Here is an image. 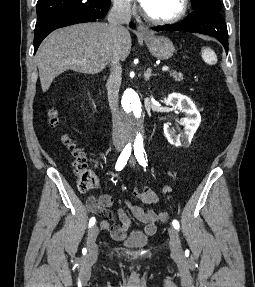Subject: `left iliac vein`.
Listing matches in <instances>:
<instances>
[{
  "mask_svg": "<svg viewBox=\"0 0 255 287\" xmlns=\"http://www.w3.org/2000/svg\"><path fill=\"white\" fill-rule=\"evenodd\" d=\"M131 164L134 165V162L131 161ZM168 233L170 237L169 245H170L172 254L174 256H180V254L182 253V248H181V243H180L178 232L176 231L174 227H169Z\"/></svg>",
  "mask_w": 255,
  "mask_h": 287,
  "instance_id": "4c4485c4",
  "label": "left iliac vein"
}]
</instances>
